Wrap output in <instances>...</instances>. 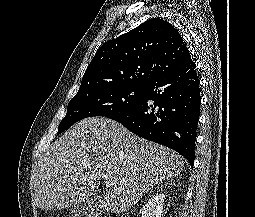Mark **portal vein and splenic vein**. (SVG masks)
Returning a JSON list of instances; mask_svg holds the SVG:
<instances>
[{
    "label": "portal vein and splenic vein",
    "mask_w": 255,
    "mask_h": 217,
    "mask_svg": "<svg viewBox=\"0 0 255 217\" xmlns=\"http://www.w3.org/2000/svg\"><path fill=\"white\" fill-rule=\"evenodd\" d=\"M104 183H105V186H106V187H110V186H111V183H110L109 180H105Z\"/></svg>",
    "instance_id": "1"
}]
</instances>
